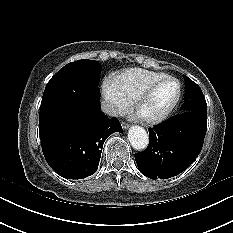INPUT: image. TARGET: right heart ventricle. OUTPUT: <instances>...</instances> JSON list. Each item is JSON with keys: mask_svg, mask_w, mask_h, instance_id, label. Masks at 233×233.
<instances>
[{"mask_svg": "<svg viewBox=\"0 0 233 233\" xmlns=\"http://www.w3.org/2000/svg\"><path fill=\"white\" fill-rule=\"evenodd\" d=\"M162 76H165V74L141 68H131L116 75L113 80L119 91L131 101L147 85Z\"/></svg>", "mask_w": 233, "mask_h": 233, "instance_id": "right-heart-ventricle-1", "label": "right heart ventricle"}]
</instances>
